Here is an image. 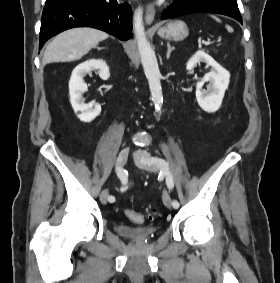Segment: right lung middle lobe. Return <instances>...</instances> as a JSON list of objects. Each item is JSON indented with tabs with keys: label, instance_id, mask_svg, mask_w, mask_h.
Wrapping results in <instances>:
<instances>
[{
	"label": "right lung middle lobe",
	"instance_id": "1",
	"mask_svg": "<svg viewBox=\"0 0 280 283\" xmlns=\"http://www.w3.org/2000/svg\"><path fill=\"white\" fill-rule=\"evenodd\" d=\"M50 1H52V0H46V3H47V2H50Z\"/></svg>",
	"mask_w": 280,
	"mask_h": 283
}]
</instances>
